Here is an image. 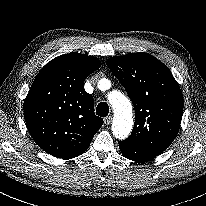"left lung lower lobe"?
I'll list each match as a JSON object with an SVG mask.
<instances>
[{"instance_id":"obj_1","label":"left lung lower lobe","mask_w":206,"mask_h":206,"mask_svg":"<svg viewBox=\"0 0 206 206\" xmlns=\"http://www.w3.org/2000/svg\"><path fill=\"white\" fill-rule=\"evenodd\" d=\"M119 147L125 158L136 162H147L159 155V153L147 151L123 141H120Z\"/></svg>"}]
</instances>
